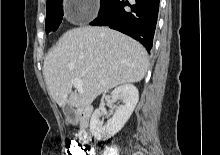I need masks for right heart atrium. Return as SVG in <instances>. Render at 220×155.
<instances>
[{"mask_svg":"<svg viewBox=\"0 0 220 155\" xmlns=\"http://www.w3.org/2000/svg\"><path fill=\"white\" fill-rule=\"evenodd\" d=\"M96 15V6L93 0H79L75 6L73 19L76 22L91 20Z\"/></svg>","mask_w":220,"mask_h":155,"instance_id":"1","label":"right heart atrium"}]
</instances>
